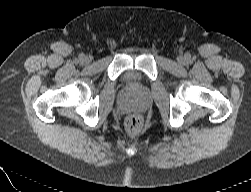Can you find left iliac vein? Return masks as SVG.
Wrapping results in <instances>:
<instances>
[{
	"instance_id": "obj_1",
	"label": "left iliac vein",
	"mask_w": 251,
	"mask_h": 192,
	"mask_svg": "<svg viewBox=\"0 0 251 192\" xmlns=\"http://www.w3.org/2000/svg\"><path fill=\"white\" fill-rule=\"evenodd\" d=\"M178 62H179L180 64H185V63H186V58L183 57V56H180V57H178Z\"/></svg>"
}]
</instances>
